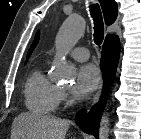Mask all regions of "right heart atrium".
Returning <instances> with one entry per match:
<instances>
[{"label":"right heart atrium","mask_w":141,"mask_h":139,"mask_svg":"<svg viewBox=\"0 0 141 139\" xmlns=\"http://www.w3.org/2000/svg\"><path fill=\"white\" fill-rule=\"evenodd\" d=\"M68 100H69V96H68L67 92L64 91V90H60V92H59V103L65 104V103L68 102Z\"/></svg>","instance_id":"right-heart-atrium-1"}]
</instances>
